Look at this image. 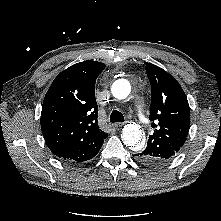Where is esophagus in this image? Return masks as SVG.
<instances>
[{"instance_id":"obj_1","label":"esophagus","mask_w":221,"mask_h":221,"mask_svg":"<svg viewBox=\"0 0 221 221\" xmlns=\"http://www.w3.org/2000/svg\"><path fill=\"white\" fill-rule=\"evenodd\" d=\"M123 125H124V123L118 122V123H115V124H114V127H115V128H120V127H122Z\"/></svg>"}]
</instances>
